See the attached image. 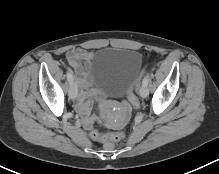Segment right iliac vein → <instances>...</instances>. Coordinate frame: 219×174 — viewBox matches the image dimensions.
Masks as SVG:
<instances>
[{"mask_svg": "<svg viewBox=\"0 0 219 174\" xmlns=\"http://www.w3.org/2000/svg\"><path fill=\"white\" fill-rule=\"evenodd\" d=\"M68 95L71 100H75L77 96V85L76 83H71L69 86Z\"/></svg>", "mask_w": 219, "mask_h": 174, "instance_id": "1", "label": "right iliac vein"}]
</instances>
